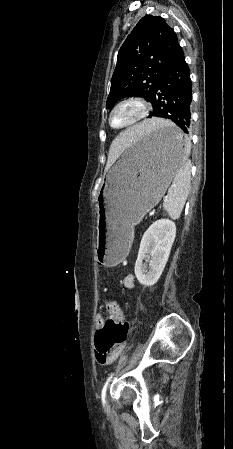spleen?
Instances as JSON below:
<instances>
[{"instance_id": "1", "label": "spleen", "mask_w": 233, "mask_h": 449, "mask_svg": "<svg viewBox=\"0 0 233 449\" xmlns=\"http://www.w3.org/2000/svg\"><path fill=\"white\" fill-rule=\"evenodd\" d=\"M185 153L186 159L174 177L167 197L163 202L164 209L173 220L180 217L191 187L190 163L187 161L190 153V143H187V151Z\"/></svg>"}]
</instances>
